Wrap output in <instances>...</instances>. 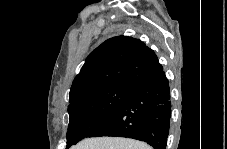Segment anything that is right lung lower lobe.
Returning <instances> with one entry per match:
<instances>
[{
    "label": "right lung lower lobe",
    "mask_w": 227,
    "mask_h": 149,
    "mask_svg": "<svg viewBox=\"0 0 227 149\" xmlns=\"http://www.w3.org/2000/svg\"><path fill=\"white\" fill-rule=\"evenodd\" d=\"M170 87L164 71L136 85L120 108L89 137L116 136L165 149L169 133Z\"/></svg>",
    "instance_id": "right-lung-lower-lobe-1"
}]
</instances>
